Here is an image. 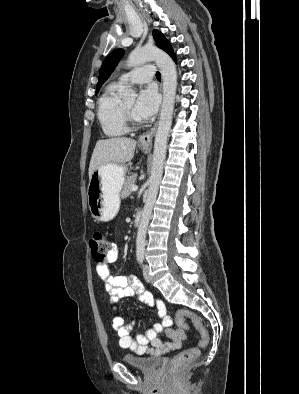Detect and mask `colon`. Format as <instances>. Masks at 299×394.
Wrapping results in <instances>:
<instances>
[{
    "label": "colon",
    "mask_w": 299,
    "mask_h": 394,
    "mask_svg": "<svg viewBox=\"0 0 299 394\" xmlns=\"http://www.w3.org/2000/svg\"><path fill=\"white\" fill-rule=\"evenodd\" d=\"M89 244L93 258L99 261L107 256L111 247V241L108 235L100 231L91 233ZM185 317L192 320L194 326L199 330L201 337L198 342V347H191L173 357L169 364L171 371H176L197 359L200 355V349L207 347L209 344L208 332L203 326L201 318L192 311L180 310L176 313V319L177 323L183 327H187V324L184 322Z\"/></svg>",
    "instance_id": "5ec220e1"
}]
</instances>
